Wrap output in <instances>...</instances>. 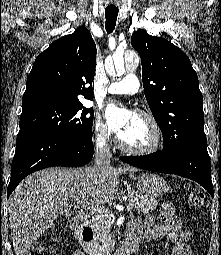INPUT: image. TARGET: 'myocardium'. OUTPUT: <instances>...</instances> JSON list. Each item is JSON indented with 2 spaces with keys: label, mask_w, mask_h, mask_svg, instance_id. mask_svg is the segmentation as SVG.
<instances>
[{
  "label": "myocardium",
  "mask_w": 221,
  "mask_h": 255,
  "mask_svg": "<svg viewBox=\"0 0 221 255\" xmlns=\"http://www.w3.org/2000/svg\"><path fill=\"white\" fill-rule=\"evenodd\" d=\"M134 114L138 117L143 118L150 125L153 132L152 142L144 147H132L124 144L117 136L115 139L117 147L126 153L134 155H149L157 152L161 148L163 143V135L159 123L153 115L146 111L135 110Z\"/></svg>",
  "instance_id": "f54148a6"
}]
</instances>
